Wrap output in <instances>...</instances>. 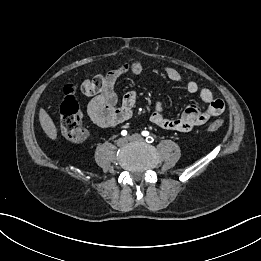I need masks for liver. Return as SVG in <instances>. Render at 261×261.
Wrapping results in <instances>:
<instances>
[{"instance_id": "6515ba94", "label": "liver", "mask_w": 261, "mask_h": 261, "mask_svg": "<svg viewBox=\"0 0 261 261\" xmlns=\"http://www.w3.org/2000/svg\"><path fill=\"white\" fill-rule=\"evenodd\" d=\"M39 121L40 125L43 129V131L46 133V135L52 139L55 140L57 137V129L56 126L51 119V117L48 115V113L43 109L40 108L39 110Z\"/></svg>"}]
</instances>
